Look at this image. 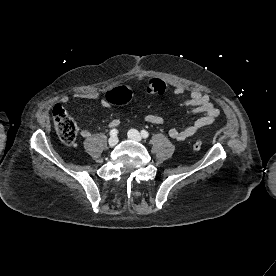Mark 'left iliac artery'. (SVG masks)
I'll use <instances>...</instances> for the list:
<instances>
[{"label": "left iliac artery", "mask_w": 276, "mask_h": 276, "mask_svg": "<svg viewBox=\"0 0 276 276\" xmlns=\"http://www.w3.org/2000/svg\"><path fill=\"white\" fill-rule=\"evenodd\" d=\"M141 136H142L143 138H148L149 133H148L146 130H142V131H141Z\"/></svg>", "instance_id": "44dca946"}]
</instances>
